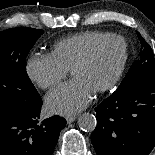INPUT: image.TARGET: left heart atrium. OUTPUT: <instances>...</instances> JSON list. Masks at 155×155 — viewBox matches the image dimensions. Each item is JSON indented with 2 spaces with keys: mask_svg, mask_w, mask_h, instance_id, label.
I'll return each mask as SVG.
<instances>
[{
  "mask_svg": "<svg viewBox=\"0 0 155 155\" xmlns=\"http://www.w3.org/2000/svg\"><path fill=\"white\" fill-rule=\"evenodd\" d=\"M94 92L81 81L73 79L47 94L45 105L49 112L73 115L84 109L92 100Z\"/></svg>",
  "mask_w": 155,
  "mask_h": 155,
  "instance_id": "39dd6f15",
  "label": "left heart atrium"
}]
</instances>
